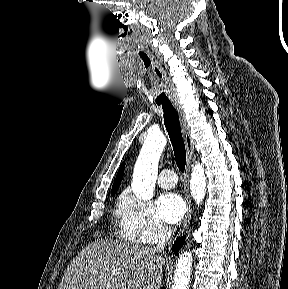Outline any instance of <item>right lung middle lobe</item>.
<instances>
[{"mask_svg": "<svg viewBox=\"0 0 288 289\" xmlns=\"http://www.w3.org/2000/svg\"><path fill=\"white\" fill-rule=\"evenodd\" d=\"M116 192H117V190H115V191H112V195H113V194H115Z\"/></svg>", "mask_w": 288, "mask_h": 289, "instance_id": "dd1d6c3e", "label": "right lung middle lobe"}]
</instances>
